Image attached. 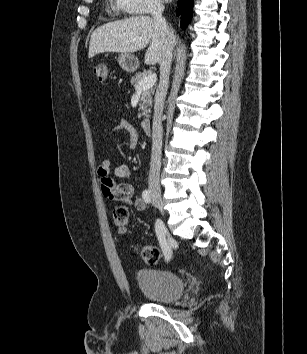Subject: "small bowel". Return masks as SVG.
<instances>
[{
  "label": "small bowel",
  "instance_id": "c3829d8e",
  "mask_svg": "<svg viewBox=\"0 0 307 354\" xmlns=\"http://www.w3.org/2000/svg\"><path fill=\"white\" fill-rule=\"evenodd\" d=\"M119 133L127 134L130 148L136 147L139 141V133L129 121L121 120L110 129L108 135L114 137ZM111 173L114 177L122 179H128L131 176V171L126 165L113 168L109 160L102 161L98 167V175L104 197L111 201L128 204L138 211H144L147 207L146 202L143 197L135 195L134 186L130 183H116L110 177Z\"/></svg>",
  "mask_w": 307,
  "mask_h": 354
}]
</instances>
